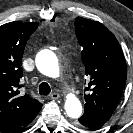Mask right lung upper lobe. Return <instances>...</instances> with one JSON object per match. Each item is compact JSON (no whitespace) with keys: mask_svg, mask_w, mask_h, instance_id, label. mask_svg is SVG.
Returning <instances> with one entry per match:
<instances>
[{"mask_svg":"<svg viewBox=\"0 0 133 133\" xmlns=\"http://www.w3.org/2000/svg\"><path fill=\"white\" fill-rule=\"evenodd\" d=\"M38 23L14 21L0 26V127L15 130L35 117L42 104L28 94H20L23 86L21 60L24 47Z\"/></svg>","mask_w":133,"mask_h":133,"instance_id":"1","label":"right lung upper lobe"}]
</instances>
